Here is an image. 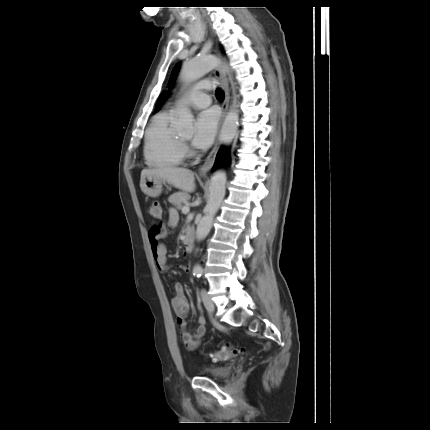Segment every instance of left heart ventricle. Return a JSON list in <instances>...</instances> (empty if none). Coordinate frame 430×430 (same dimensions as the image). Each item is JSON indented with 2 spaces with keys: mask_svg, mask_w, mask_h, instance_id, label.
<instances>
[{
  "mask_svg": "<svg viewBox=\"0 0 430 430\" xmlns=\"http://www.w3.org/2000/svg\"><path fill=\"white\" fill-rule=\"evenodd\" d=\"M180 137L184 140H188L190 138V134H182Z\"/></svg>",
  "mask_w": 430,
  "mask_h": 430,
  "instance_id": "obj_1",
  "label": "left heart ventricle"
}]
</instances>
